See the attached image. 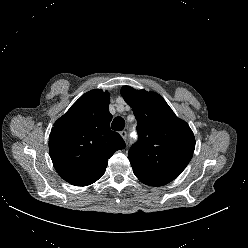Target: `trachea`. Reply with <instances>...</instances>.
I'll use <instances>...</instances> for the list:
<instances>
[{
    "label": "trachea",
    "mask_w": 248,
    "mask_h": 248,
    "mask_svg": "<svg viewBox=\"0 0 248 248\" xmlns=\"http://www.w3.org/2000/svg\"><path fill=\"white\" fill-rule=\"evenodd\" d=\"M111 127L113 130L115 131H121L124 129L125 127V121L122 117H116L112 124H111Z\"/></svg>",
    "instance_id": "trachea-1"
}]
</instances>
